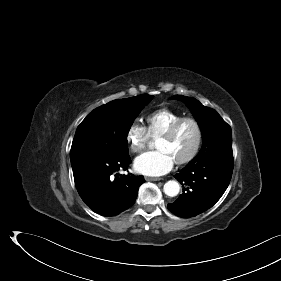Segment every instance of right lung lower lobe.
Returning <instances> with one entry per match:
<instances>
[{
	"mask_svg": "<svg viewBox=\"0 0 281 281\" xmlns=\"http://www.w3.org/2000/svg\"><path fill=\"white\" fill-rule=\"evenodd\" d=\"M130 163L128 155L120 159H86L72 164L75 186L86 205L104 216L117 215L131 207L139 186L145 182L144 177L115 174L120 169H128Z\"/></svg>",
	"mask_w": 281,
	"mask_h": 281,
	"instance_id": "98d812e1",
	"label": "right lung lower lobe"
}]
</instances>
